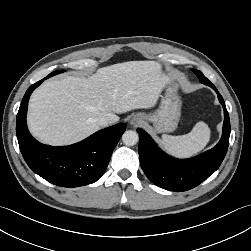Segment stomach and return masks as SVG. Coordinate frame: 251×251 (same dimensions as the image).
Here are the masks:
<instances>
[{
  "mask_svg": "<svg viewBox=\"0 0 251 251\" xmlns=\"http://www.w3.org/2000/svg\"><path fill=\"white\" fill-rule=\"evenodd\" d=\"M178 90V83L170 79L166 85L165 94L161 99L159 108L153 113L142 114L145 120L153 124L154 132L165 133L176 130L182 107Z\"/></svg>",
  "mask_w": 251,
  "mask_h": 251,
  "instance_id": "stomach-1",
  "label": "stomach"
}]
</instances>
